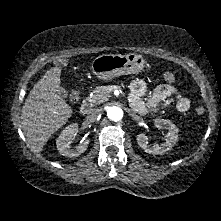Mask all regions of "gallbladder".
<instances>
[{
    "instance_id": "obj_1",
    "label": "gallbladder",
    "mask_w": 221,
    "mask_h": 221,
    "mask_svg": "<svg viewBox=\"0 0 221 221\" xmlns=\"http://www.w3.org/2000/svg\"><path fill=\"white\" fill-rule=\"evenodd\" d=\"M59 95H60L62 98H67V96H68L67 91H66L64 88H61V89H60Z\"/></svg>"
}]
</instances>
